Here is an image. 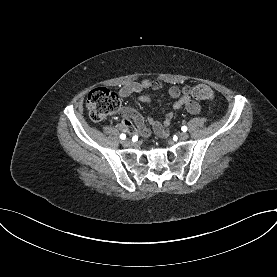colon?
Segmentation results:
<instances>
[{
  "label": "colon",
  "instance_id": "5ec220e1",
  "mask_svg": "<svg viewBox=\"0 0 277 277\" xmlns=\"http://www.w3.org/2000/svg\"><path fill=\"white\" fill-rule=\"evenodd\" d=\"M193 96L200 100H210L214 93L208 86L200 84L193 89ZM86 106L90 117L94 121H101L119 109L120 99L116 92L108 88H95L89 92Z\"/></svg>",
  "mask_w": 277,
  "mask_h": 277
}]
</instances>
